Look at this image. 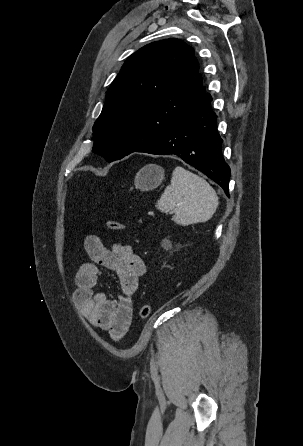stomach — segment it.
<instances>
[{
  "label": "stomach",
  "instance_id": "obj_1",
  "mask_svg": "<svg viewBox=\"0 0 303 446\" xmlns=\"http://www.w3.org/2000/svg\"><path fill=\"white\" fill-rule=\"evenodd\" d=\"M164 179V169L156 164H149L141 168L135 176L134 185L141 191L156 189Z\"/></svg>",
  "mask_w": 303,
  "mask_h": 446
}]
</instances>
